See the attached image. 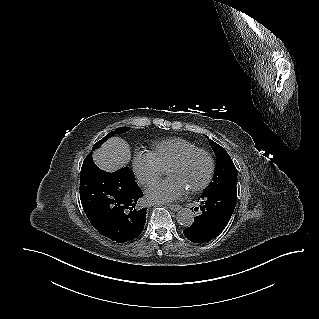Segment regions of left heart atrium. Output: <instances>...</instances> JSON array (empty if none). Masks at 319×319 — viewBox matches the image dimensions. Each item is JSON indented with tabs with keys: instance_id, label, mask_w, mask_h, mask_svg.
<instances>
[{
	"instance_id": "obj_1",
	"label": "left heart atrium",
	"mask_w": 319,
	"mask_h": 319,
	"mask_svg": "<svg viewBox=\"0 0 319 319\" xmlns=\"http://www.w3.org/2000/svg\"><path fill=\"white\" fill-rule=\"evenodd\" d=\"M186 192L187 188L180 180L169 177L149 187L145 196L150 203H165L182 198Z\"/></svg>"
}]
</instances>
